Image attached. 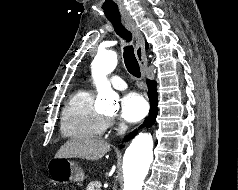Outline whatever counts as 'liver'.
Wrapping results in <instances>:
<instances>
[{
	"label": "liver",
	"mask_w": 238,
	"mask_h": 190,
	"mask_svg": "<svg viewBox=\"0 0 238 190\" xmlns=\"http://www.w3.org/2000/svg\"><path fill=\"white\" fill-rule=\"evenodd\" d=\"M110 150V145L98 139L73 137L60 147L55 158L99 160Z\"/></svg>",
	"instance_id": "obj_1"
}]
</instances>
